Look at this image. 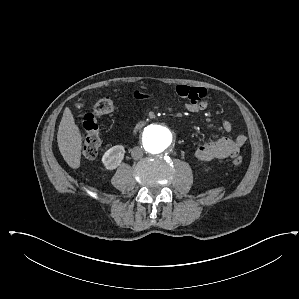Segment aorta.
<instances>
[{"label":"aorta","mask_w":299,"mask_h":299,"mask_svg":"<svg viewBox=\"0 0 299 299\" xmlns=\"http://www.w3.org/2000/svg\"><path fill=\"white\" fill-rule=\"evenodd\" d=\"M171 131L162 125H150L142 135V145L145 152L151 156L164 153L172 144Z\"/></svg>","instance_id":"aorta-1"}]
</instances>
